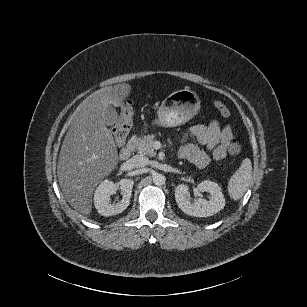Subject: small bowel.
<instances>
[{
    "label": "small bowel",
    "instance_id": "c3829d8e",
    "mask_svg": "<svg viewBox=\"0 0 307 307\" xmlns=\"http://www.w3.org/2000/svg\"><path fill=\"white\" fill-rule=\"evenodd\" d=\"M191 139L196 143L191 142ZM234 139L231 125L221 126L219 121L214 119L207 125L190 128L188 134L183 137L178 156L203 168L213 161L224 159Z\"/></svg>",
    "mask_w": 307,
    "mask_h": 307
}]
</instances>
